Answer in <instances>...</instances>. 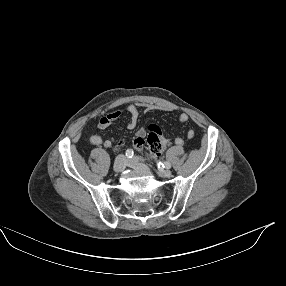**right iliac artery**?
<instances>
[{
    "label": "right iliac artery",
    "mask_w": 286,
    "mask_h": 286,
    "mask_svg": "<svg viewBox=\"0 0 286 286\" xmlns=\"http://www.w3.org/2000/svg\"><path fill=\"white\" fill-rule=\"evenodd\" d=\"M126 157L131 159L134 155V152L131 149H128L125 153Z\"/></svg>",
    "instance_id": "82829eb1"
}]
</instances>
